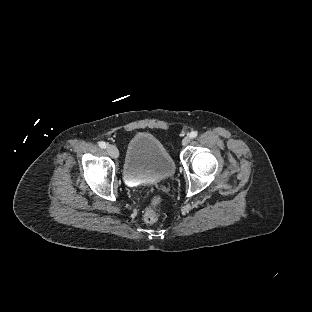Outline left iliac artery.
Instances as JSON below:
<instances>
[{
    "label": "left iliac artery",
    "mask_w": 312,
    "mask_h": 312,
    "mask_svg": "<svg viewBox=\"0 0 312 312\" xmlns=\"http://www.w3.org/2000/svg\"><path fill=\"white\" fill-rule=\"evenodd\" d=\"M197 135H198L197 131H192L189 134L190 138H195V137H197Z\"/></svg>",
    "instance_id": "44dca946"
}]
</instances>
